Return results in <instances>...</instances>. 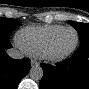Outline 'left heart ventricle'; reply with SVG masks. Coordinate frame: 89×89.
<instances>
[{"instance_id":"1","label":"left heart ventricle","mask_w":89,"mask_h":89,"mask_svg":"<svg viewBox=\"0 0 89 89\" xmlns=\"http://www.w3.org/2000/svg\"><path fill=\"white\" fill-rule=\"evenodd\" d=\"M75 42V33L73 31H65L61 33L52 43L51 52L53 54H61L69 50Z\"/></svg>"}]
</instances>
